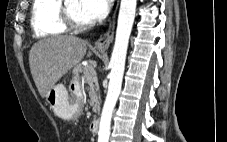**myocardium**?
<instances>
[{
    "label": "myocardium",
    "instance_id": "myocardium-1",
    "mask_svg": "<svg viewBox=\"0 0 227 142\" xmlns=\"http://www.w3.org/2000/svg\"><path fill=\"white\" fill-rule=\"evenodd\" d=\"M60 18L69 30H85L91 26L89 22H80L74 18L64 4L60 6Z\"/></svg>",
    "mask_w": 227,
    "mask_h": 142
}]
</instances>
